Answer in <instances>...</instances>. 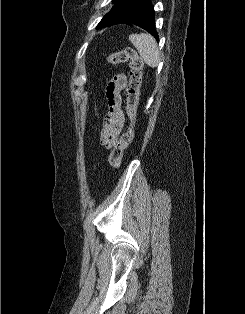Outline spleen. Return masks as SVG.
<instances>
[{
    "label": "spleen",
    "mask_w": 245,
    "mask_h": 314,
    "mask_svg": "<svg viewBox=\"0 0 245 314\" xmlns=\"http://www.w3.org/2000/svg\"><path fill=\"white\" fill-rule=\"evenodd\" d=\"M129 40L148 66L153 68L158 66L160 53L154 37L146 33L131 34Z\"/></svg>",
    "instance_id": "obj_1"
}]
</instances>
